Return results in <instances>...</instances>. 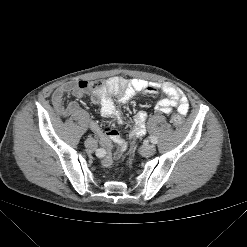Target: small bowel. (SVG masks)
<instances>
[{"instance_id":"obj_1","label":"small bowel","mask_w":247,"mask_h":247,"mask_svg":"<svg viewBox=\"0 0 247 247\" xmlns=\"http://www.w3.org/2000/svg\"><path fill=\"white\" fill-rule=\"evenodd\" d=\"M164 93L165 97L158 101L156 110L163 114H170L174 108L182 114L186 115L189 110L187 97L178 87L170 83H155L142 79H125L122 77H112L106 80L105 85L95 91H90L86 81H69L57 87L52 94V104L61 117H69L79 114L80 108L77 102L70 101L67 104L63 102L65 94H71L76 98L90 95L94 104L100 106V112L104 119L116 123L121 122L120 115L115 108L113 96H116L120 103H125L133 99L137 94L158 95ZM147 114L139 112L135 116V127L132 135L137 137L145 133ZM93 131L100 133L99 125L95 121L90 122ZM101 143L105 148L111 150L113 145L119 147L115 153L118 158L126 149V143L119 137L116 131L111 130L110 133L101 134ZM104 165L108 166L112 163V157L107 156L103 160Z\"/></svg>"}]
</instances>
